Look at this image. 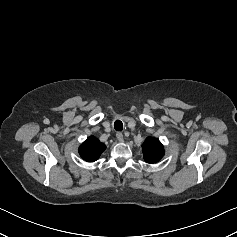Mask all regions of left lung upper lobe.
Returning <instances> with one entry per match:
<instances>
[{"mask_svg":"<svg viewBox=\"0 0 237 237\" xmlns=\"http://www.w3.org/2000/svg\"><path fill=\"white\" fill-rule=\"evenodd\" d=\"M144 160L147 163L158 162L164 155L161 142L154 137H148L142 145Z\"/></svg>","mask_w":237,"mask_h":237,"instance_id":"obj_1","label":"left lung upper lobe"}]
</instances>
